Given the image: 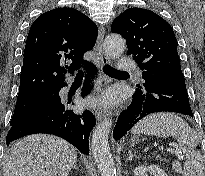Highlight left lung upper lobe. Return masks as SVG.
Here are the masks:
<instances>
[{
  "mask_svg": "<svg viewBox=\"0 0 205 176\" xmlns=\"http://www.w3.org/2000/svg\"><path fill=\"white\" fill-rule=\"evenodd\" d=\"M111 31L126 39L128 54L143 70L144 80L161 72L181 71L173 29L156 13L130 8L113 21Z\"/></svg>",
  "mask_w": 205,
  "mask_h": 176,
  "instance_id": "5c2ea615",
  "label": "left lung upper lobe"
}]
</instances>
